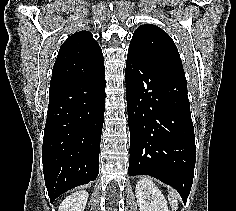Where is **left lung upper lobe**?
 <instances>
[{
	"label": "left lung upper lobe",
	"instance_id": "1",
	"mask_svg": "<svg viewBox=\"0 0 236 211\" xmlns=\"http://www.w3.org/2000/svg\"><path fill=\"white\" fill-rule=\"evenodd\" d=\"M128 55L185 77L176 45L167 33L155 25H141L135 30Z\"/></svg>",
	"mask_w": 236,
	"mask_h": 211
}]
</instances>
